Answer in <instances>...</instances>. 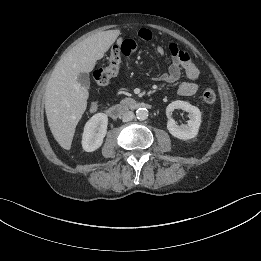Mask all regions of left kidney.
Masks as SVG:
<instances>
[{
  "mask_svg": "<svg viewBox=\"0 0 261 261\" xmlns=\"http://www.w3.org/2000/svg\"><path fill=\"white\" fill-rule=\"evenodd\" d=\"M174 109H182L189 113V120L186 125L179 126L175 120L171 118ZM166 114L168 117L167 129L172 136L182 140L196 137L201 124V112L196 106L185 101H173L167 106Z\"/></svg>",
  "mask_w": 261,
  "mask_h": 261,
  "instance_id": "5707ae66",
  "label": "left kidney"
}]
</instances>
